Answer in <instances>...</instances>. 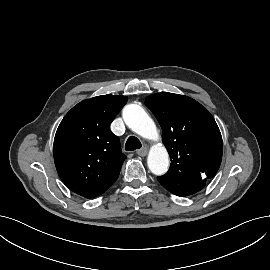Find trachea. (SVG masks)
Here are the masks:
<instances>
[{
	"mask_svg": "<svg viewBox=\"0 0 270 270\" xmlns=\"http://www.w3.org/2000/svg\"><path fill=\"white\" fill-rule=\"evenodd\" d=\"M142 147L141 142L139 141L138 138L134 136H130L125 144V148L128 151H134L136 149H140Z\"/></svg>",
	"mask_w": 270,
	"mask_h": 270,
	"instance_id": "obj_1",
	"label": "trachea"
}]
</instances>
